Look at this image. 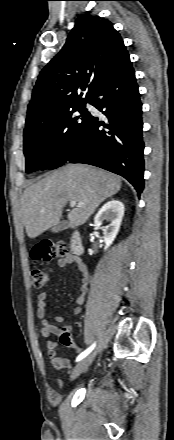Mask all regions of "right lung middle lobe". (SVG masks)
Here are the masks:
<instances>
[{
    "label": "right lung middle lobe",
    "instance_id": "dd1d6c3e",
    "mask_svg": "<svg viewBox=\"0 0 174 440\" xmlns=\"http://www.w3.org/2000/svg\"><path fill=\"white\" fill-rule=\"evenodd\" d=\"M86 103L89 100L24 131L27 173L55 169L65 163L73 144L86 128L90 114L85 108Z\"/></svg>",
    "mask_w": 174,
    "mask_h": 440
}]
</instances>
